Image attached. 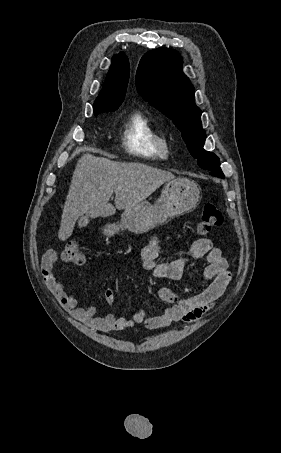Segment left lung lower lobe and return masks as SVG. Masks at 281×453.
<instances>
[{
  "mask_svg": "<svg viewBox=\"0 0 281 453\" xmlns=\"http://www.w3.org/2000/svg\"><path fill=\"white\" fill-rule=\"evenodd\" d=\"M212 175H214V174H212ZM214 176H218V177L224 178V174H222V175H214Z\"/></svg>",
  "mask_w": 281,
  "mask_h": 453,
  "instance_id": "obj_1",
  "label": "left lung lower lobe"
}]
</instances>
